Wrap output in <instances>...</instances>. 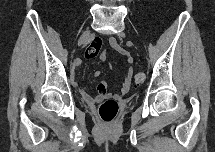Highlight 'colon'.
Listing matches in <instances>:
<instances>
[{"instance_id": "1", "label": "colon", "mask_w": 215, "mask_h": 152, "mask_svg": "<svg viewBox=\"0 0 215 152\" xmlns=\"http://www.w3.org/2000/svg\"><path fill=\"white\" fill-rule=\"evenodd\" d=\"M102 47V42L99 38H96L91 41V43L87 46L85 51V56L88 59L95 58ZM145 81V74L142 72L136 73L134 77V85L136 87L140 86ZM119 111L118 102L115 99L108 98L104 100L98 108V113L100 118L104 122H111L117 116Z\"/></svg>"}]
</instances>
